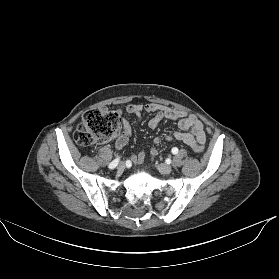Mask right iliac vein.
<instances>
[{
    "label": "right iliac vein",
    "mask_w": 279,
    "mask_h": 279,
    "mask_svg": "<svg viewBox=\"0 0 279 279\" xmlns=\"http://www.w3.org/2000/svg\"><path fill=\"white\" fill-rule=\"evenodd\" d=\"M117 169H118L119 171H123V170L125 169V164H124L123 162H119V163L117 164Z\"/></svg>",
    "instance_id": "63e3f726"
}]
</instances>
